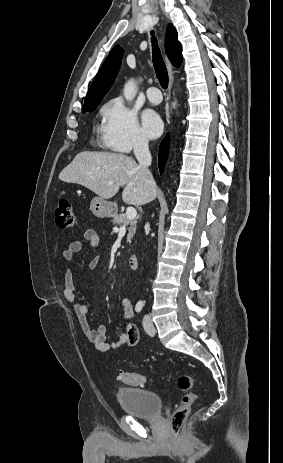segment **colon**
<instances>
[{
    "instance_id": "colon-1",
    "label": "colon",
    "mask_w": 283,
    "mask_h": 463,
    "mask_svg": "<svg viewBox=\"0 0 283 463\" xmlns=\"http://www.w3.org/2000/svg\"><path fill=\"white\" fill-rule=\"evenodd\" d=\"M56 221L61 229H72L75 227L76 219L71 202L68 199H61L56 209ZM121 381L132 386L144 385L147 381L142 374L121 371L119 374ZM177 387L183 392L180 405L171 417L172 433L179 437L182 433L183 425L191 411L192 406L197 400L194 391V380L189 375H180L177 378Z\"/></svg>"
}]
</instances>
